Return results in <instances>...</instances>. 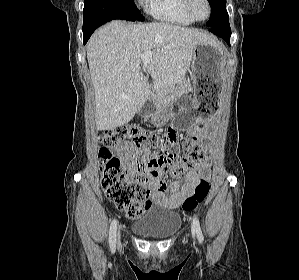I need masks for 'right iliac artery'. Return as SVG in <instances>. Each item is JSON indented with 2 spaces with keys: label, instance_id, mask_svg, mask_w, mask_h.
<instances>
[{
  "label": "right iliac artery",
  "instance_id": "1",
  "mask_svg": "<svg viewBox=\"0 0 299 280\" xmlns=\"http://www.w3.org/2000/svg\"><path fill=\"white\" fill-rule=\"evenodd\" d=\"M116 230H117V220L114 219L110 225V232H109V245L111 249H114L116 246Z\"/></svg>",
  "mask_w": 299,
  "mask_h": 280
}]
</instances>
